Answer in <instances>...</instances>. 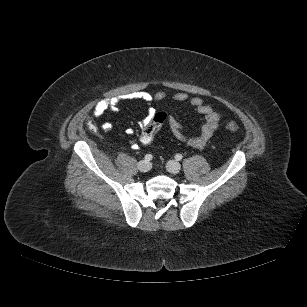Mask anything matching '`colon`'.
I'll list each match as a JSON object with an SVG mask.
<instances>
[{
	"mask_svg": "<svg viewBox=\"0 0 307 307\" xmlns=\"http://www.w3.org/2000/svg\"><path fill=\"white\" fill-rule=\"evenodd\" d=\"M167 115L165 112H158L154 115L151 123L145 127L140 135V142L144 146H148L153 142L154 136L158 131L159 127L165 122ZM224 126L229 131H237L238 125L232 119H226L224 121Z\"/></svg>",
	"mask_w": 307,
	"mask_h": 307,
	"instance_id": "obj_1",
	"label": "colon"
}]
</instances>
